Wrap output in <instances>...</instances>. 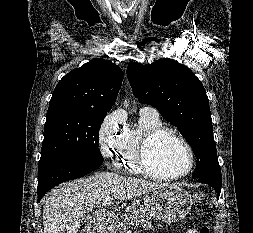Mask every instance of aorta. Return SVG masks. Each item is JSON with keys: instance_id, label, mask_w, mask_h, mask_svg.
<instances>
[{"instance_id": "aorta-1", "label": "aorta", "mask_w": 253, "mask_h": 233, "mask_svg": "<svg viewBox=\"0 0 253 233\" xmlns=\"http://www.w3.org/2000/svg\"><path fill=\"white\" fill-rule=\"evenodd\" d=\"M125 104H126V107H127V106H128V103L126 102Z\"/></svg>"}]
</instances>
